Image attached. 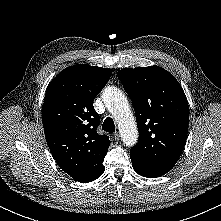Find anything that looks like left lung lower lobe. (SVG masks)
<instances>
[{
    "label": "left lung lower lobe",
    "mask_w": 221,
    "mask_h": 221,
    "mask_svg": "<svg viewBox=\"0 0 221 221\" xmlns=\"http://www.w3.org/2000/svg\"><path fill=\"white\" fill-rule=\"evenodd\" d=\"M134 170L141 176L147 178H155L166 174L172 167L164 165H153L142 162L134 157H131Z\"/></svg>",
    "instance_id": "left-lung-lower-lobe-1"
}]
</instances>
